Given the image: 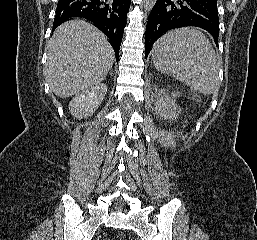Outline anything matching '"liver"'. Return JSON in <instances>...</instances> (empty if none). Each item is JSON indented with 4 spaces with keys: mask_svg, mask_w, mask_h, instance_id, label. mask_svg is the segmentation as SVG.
<instances>
[{
    "mask_svg": "<svg viewBox=\"0 0 257 240\" xmlns=\"http://www.w3.org/2000/svg\"><path fill=\"white\" fill-rule=\"evenodd\" d=\"M114 58L105 35L83 20H71L49 42L46 79L55 95L70 97L103 81Z\"/></svg>",
    "mask_w": 257,
    "mask_h": 240,
    "instance_id": "1",
    "label": "liver"
}]
</instances>
